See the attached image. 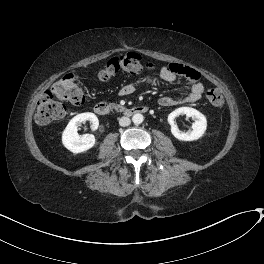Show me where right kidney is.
Segmentation results:
<instances>
[{
  "label": "right kidney",
  "mask_w": 264,
  "mask_h": 264,
  "mask_svg": "<svg viewBox=\"0 0 264 264\" xmlns=\"http://www.w3.org/2000/svg\"><path fill=\"white\" fill-rule=\"evenodd\" d=\"M85 121H90L91 129L95 131L99 126V121L94 113L86 112L73 117L62 134L63 145L73 153H81L89 150L95 145L93 134H78V126Z\"/></svg>",
  "instance_id": "ca27d5eb"
}]
</instances>
